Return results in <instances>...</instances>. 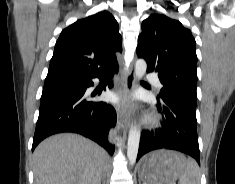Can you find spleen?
Segmentation results:
<instances>
[{"instance_id":"1","label":"spleen","mask_w":235,"mask_h":184,"mask_svg":"<svg viewBox=\"0 0 235 184\" xmlns=\"http://www.w3.org/2000/svg\"><path fill=\"white\" fill-rule=\"evenodd\" d=\"M199 166L193 158H189L187 162V168L181 176L178 184H199Z\"/></svg>"}]
</instances>
